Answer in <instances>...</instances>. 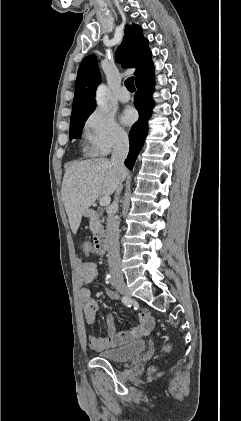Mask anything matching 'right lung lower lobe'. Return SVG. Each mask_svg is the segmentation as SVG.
I'll return each instance as SVG.
<instances>
[{"label":"right lung lower lobe","mask_w":241,"mask_h":421,"mask_svg":"<svg viewBox=\"0 0 241 421\" xmlns=\"http://www.w3.org/2000/svg\"><path fill=\"white\" fill-rule=\"evenodd\" d=\"M137 92L134 97V104L139 112L138 121L132 126L129 132L130 151L125 160V165L131 170L138 153L140 152L148 127L147 120L150 118L153 107L151 95L154 86V74L152 62L135 79Z\"/></svg>","instance_id":"obj_1"}]
</instances>
